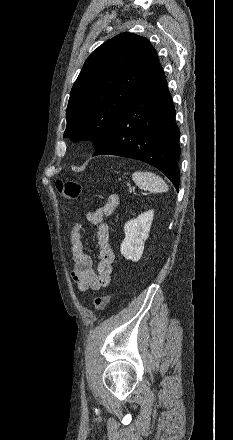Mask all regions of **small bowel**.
Wrapping results in <instances>:
<instances>
[{
    "label": "small bowel",
    "instance_id": "small-bowel-1",
    "mask_svg": "<svg viewBox=\"0 0 233 440\" xmlns=\"http://www.w3.org/2000/svg\"><path fill=\"white\" fill-rule=\"evenodd\" d=\"M119 206V197L111 194L105 203L88 212L86 220L97 227V238L99 244L98 262L94 269L92 259L84 250L83 241L80 235V224L74 225L71 233V253L74 265L71 269V277L80 291H98L109 285L114 262V251L109 243V227L105 218L113 214Z\"/></svg>",
    "mask_w": 233,
    "mask_h": 440
}]
</instances>
